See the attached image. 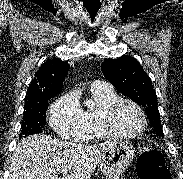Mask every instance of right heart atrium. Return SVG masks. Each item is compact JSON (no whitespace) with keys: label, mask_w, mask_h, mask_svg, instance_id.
<instances>
[{"label":"right heart atrium","mask_w":183,"mask_h":179,"mask_svg":"<svg viewBox=\"0 0 183 179\" xmlns=\"http://www.w3.org/2000/svg\"><path fill=\"white\" fill-rule=\"evenodd\" d=\"M50 124L63 139L80 141L86 136L85 113L75 94L66 93L53 103L50 109Z\"/></svg>","instance_id":"d8ad5b80"}]
</instances>
